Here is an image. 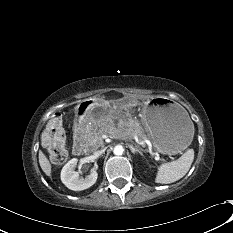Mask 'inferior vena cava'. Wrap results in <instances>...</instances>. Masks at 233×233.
I'll use <instances>...</instances> for the list:
<instances>
[{
	"label": "inferior vena cava",
	"mask_w": 233,
	"mask_h": 233,
	"mask_svg": "<svg viewBox=\"0 0 233 233\" xmlns=\"http://www.w3.org/2000/svg\"><path fill=\"white\" fill-rule=\"evenodd\" d=\"M104 152H105V149L98 150V151L94 152V155H95L96 157H99V156L102 155Z\"/></svg>",
	"instance_id": "inferior-vena-cava-1"
}]
</instances>
